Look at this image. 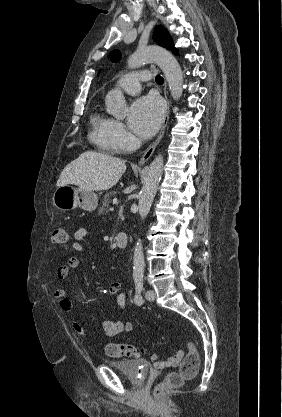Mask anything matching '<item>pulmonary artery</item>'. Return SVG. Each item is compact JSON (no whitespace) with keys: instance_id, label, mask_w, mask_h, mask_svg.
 Returning a JSON list of instances; mask_svg holds the SVG:
<instances>
[{"instance_id":"obj_1","label":"pulmonary artery","mask_w":282,"mask_h":417,"mask_svg":"<svg viewBox=\"0 0 282 417\" xmlns=\"http://www.w3.org/2000/svg\"><path fill=\"white\" fill-rule=\"evenodd\" d=\"M151 77L145 70H132L130 74L121 76L116 85L128 94H137L140 91L143 81H150Z\"/></svg>"}]
</instances>
